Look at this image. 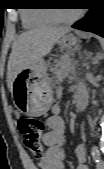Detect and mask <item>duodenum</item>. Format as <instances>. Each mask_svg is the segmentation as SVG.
<instances>
[{"label": "duodenum", "mask_w": 104, "mask_h": 169, "mask_svg": "<svg viewBox=\"0 0 104 169\" xmlns=\"http://www.w3.org/2000/svg\"><path fill=\"white\" fill-rule=\"evenodd\" d=\"M88 106V98L86 96L76 97V108L79 112H83Z\"/></svg>", "instance_id": "410a0bca"}]
</instances>
